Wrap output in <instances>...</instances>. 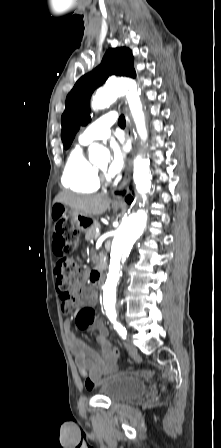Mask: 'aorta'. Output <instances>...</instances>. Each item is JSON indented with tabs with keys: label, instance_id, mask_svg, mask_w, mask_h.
Listing matches in <instances>:
<instances>
[{
	"label": "aorta",
	"instance_id": "aorta-1",
	"mask_svg": "<svg viewBox=\"0 0 221 448\" xmlns=\"http://www.w3.org/2000/svg\"><path fill=\"white\" fill-rule=\"evenodd\" d=\"M126 95L136 129L142 140L147 138L145 117L137 90V84L130 79H118L106 83L93 96L91 105L94 110L109 107L119 96ZM108 151L101 145L93 143L89 146V160L95 163L99 157L107 156ZM150 162L137 156L134 160L133 180L139 194H146L151 189ZM147 214L138 210L123 219L116 230L111 244L110 264L107 281L111 288H116L122 266L128 257L136 238L144 231Z\"/></svg>",
	"mask_w": 221,
	"mask_h": 448
}]
</instances>
